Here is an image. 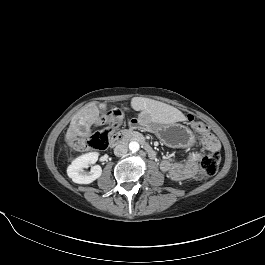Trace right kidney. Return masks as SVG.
<instances>
[{"label":"right kidney","mask_w":265,"mask_h":265,"mask_svg":"<svg viewBox=\"0 0 265 265\" xmlns=\"http://www.w3.org/2000/svg\"><path fill=\"white\" fill-rule=\"evenodd\" d=\"M98 160V153L91 152L76 158L67 169L69 178L74 183L90 184L98 179L102 174V168L99 165L91 166L90 172L84 171V168L95 164Z\"/></svg>","instance_id":"1"}]
</instances>
